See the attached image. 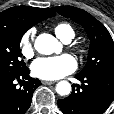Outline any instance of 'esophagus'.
<instances>
[{"mask_svg": "<svg viewBox=\"0 0 114 114\" xmlns=\"http://www.w3.org/2000/svg\"><path fill=\"white\" fill-rule=\"evenodd\" d=\"M41 82L44 85H50V84H54L55 83V81H47V80H42Z\"/></svg>", "mask_w": 114, "mask_h": 114, "instance_id": "1", "label": "esophagus"}]
</instances>
